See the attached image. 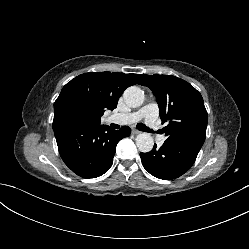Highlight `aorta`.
I'll return each instance as SVG.
<instances>
[{
	"label": "aorta",
	"mask_w": 249,
	"mask_h": 249,
	"mask_svg": "<svg viewBox=\"0 0 249 249\" xmlns=\"http://www.w3.org/2000/svg\"><path fill=\"white\" fill-rule=\"evenodd\" d=\"M124 100L129 107L136 108L144 102V92L139 87H128L123 93ZM136 146L140 152H150L154 146L153 137L149 133H141L136 137Z\"/></svg>",
	"instance_id": "aorta-1"
}]
</instances>
